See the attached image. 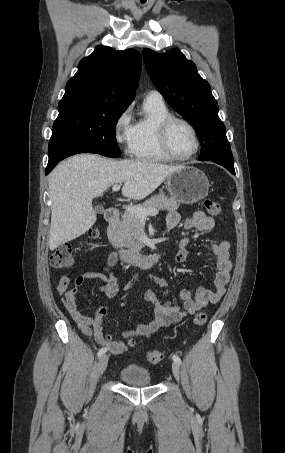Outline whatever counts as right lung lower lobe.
Listing matches in <instances>:
<instances>
[{"label":"right lung lower lobe","instance_id":"right-lung-lower-lobe-1","mask_svg":"<svg viewBox=\"0 0 285 453\" xmlns=\"http://www.w3.org/2000/svg\"><path fill=\"white\" fill-rule=\"evenodd\" d=\"M78 153H94V151L62 132H52L49 142V161L46 168V175L59 161Z\"/></svg>","mask_w":285,"mask_h":453}]
</instances>
